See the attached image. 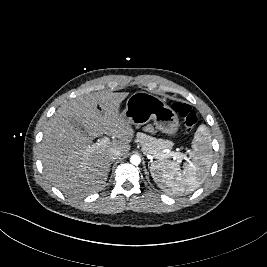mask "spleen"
Listing matches in <instances>:
<instances>
[{
  "label": "spleen",
  "mask_w": 267,
  "mask_h": 267,
  "mask_svg": "<svg viewBox=\"0 0 267 267\" xmlns=\"http://www.w3.org/2000/svg\"><path fill=\"white\" fill-rule=\"evenodd\" d=\"M212 163L211 135L202 124L195 132L190 157L183 168L179 162L156 161L150 172L156 184L171 195H183L198 188L206 179Z\"/></svg>",
  "instance_id": "obj_1"
}]
</instances>
